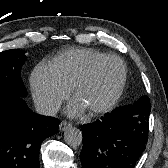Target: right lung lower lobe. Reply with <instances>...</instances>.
<instances>
[{
    "label": "right lung lower lobe",
    "mask_w": 168,
    "mask_h": 168,
    "mask_svg": "<svg viewBox=\"0 0 168 168\" xmlns=\"http://www.w3.org/2000/svg\"><path fill=\"white\" fill-rule=\"evenodd\" d=\"M59 120L32 112L23 97L0 93V168H39L43 140Z\"/></svg>",
    "instance_id": "obj_1"
}]
</instances>
